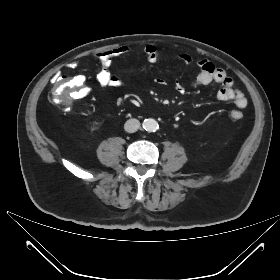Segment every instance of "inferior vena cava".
<instances>
[{
    "instance_id": "obj_1",
    "label": "inferior vena cava",
    "mask_w": 280,
    "mask_h": 280,
    "mask_svg": "<svg viewBox=\"0 0 280 280\" xmlns=\"http://www.w3.org/2000/svg\"><path fill=\"white\" fill-rule=\"evenodd\" d=\"M140 128V122L137 119H129L125 122L124 129L128 133H134Z\"/></svg>"
}]
</instances>
